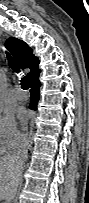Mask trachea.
Masks as SVG:
<instances>
[{
	"label": "trachea",
	"instance_id": "1",
	"mask_svg": "<svg viewBox=\"0 0 89 203\" xmlns=\"http://www.w3.org/2000/svg\"><path fill=\"white\" fill-rule=\"evenodd\" d=\"M6 54L9 66L13 69L14 72L19 73L20 69L17 66L16 62L14 61L13 57L8 52H6ZM21 88L25 90L29 89V85L25 77L21 78Z\"/></svg>",
	"mask_w": 89,
	"mask_h": 203
}]
</instances>
